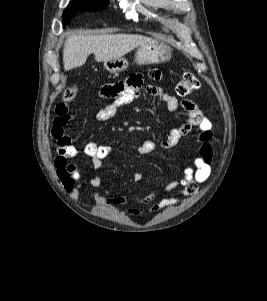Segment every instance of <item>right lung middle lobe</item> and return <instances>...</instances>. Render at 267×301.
I'll use <instances>...</instances> for the list:
<instances>
[{
    "mask_svg": "<svg viewBox=\"0 0 267 301\" xmlns=\"http://www.w3.org/2000/svg\"><path fill=\"white\" fill-rule=\"evenodd\" d=\"M108 3V0H71L63 13L64 27L78 12L97 11L103 9Z\"/></svg>",
    "mask_w": 267,
    "mask_h": 301,
    "instance_id": "right-lung-middle-lobe-1",
    "label": "right lung middle lobe"
}]
</instances>
